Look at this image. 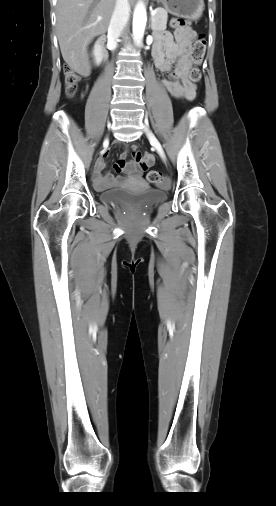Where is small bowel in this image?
I'll return each instance as SVG.
<instances>
[{
    "mask_svg": "<svg viewBox=\"0 0 276 506\" xmlns=\"http://www.w3.org/2000/svg\"><path fill=\"white\" fill-rule=\"evenodd\" d=\"M194 37L195 33L191 29L175 31V41L169 34L159 35L152 50L155 66L160 72L169 73L171 65L176 62L174 71L161 83L172 96L188 101L193 100L196 95L195 85L187 77L191 66L188 53ZM131 154L133 160L127 161L126 152L122 153L115 169L126 174L129 179H139L142 172L154 163V157L151 154H145L142 158L136 146L132 147ZM104 168V160L98 161L95 171V184L98 188L103 189L125 183L124 176L104 175Z\"/></svg>",
    "mask_w": 276,
    "mask_h": 506,
    "instance_id": "small-bowel-1",
    "label": "small bowel"
}]
</instances>
